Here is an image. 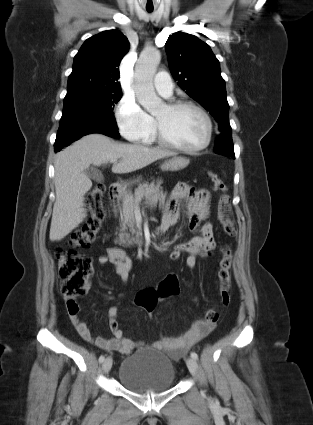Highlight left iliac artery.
Wrapping results in <instances>:
<instances>
[{
    "mask_svg": "<svg viewBox=\"0 0 313 425\" xmlns=\"http://www.w3.org/2000/svg\"><path fill=\"white\" fill-rule=\"evenodd\" d=\"M191 357L194 358L195 360L198 359V355L195 352H191Z\"/></svg>",
    "mask_w": 313,
    "mask_h": 425,
    "instance_id": "44dca946",
    "label": "left iliac artery"
}]
</instances>
